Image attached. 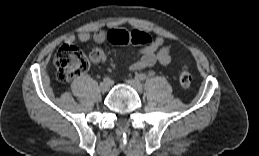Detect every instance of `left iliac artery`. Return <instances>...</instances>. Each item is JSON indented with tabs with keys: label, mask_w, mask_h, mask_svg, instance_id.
<instances>
[{
	"label": "left iliac artery",
	"mask_w": 259,
	"mask_h": 156,
	"mask_svg": "<svg viewBox=\"0 0 259 156\" xmlns=\"http://www.w3.org/2000/svg\"><path fill=\"white\" fill-rule=\"evenodd\" d=\"M136 78L139 79V80H141V81H143V80H145V79L147 78V75L144 74V73H141V74H138V75L136 76Z\"/></svg>",
	"instance_id": "left-iliac-artery-1"
}]
</instances>
